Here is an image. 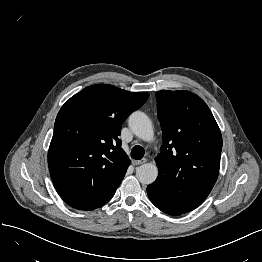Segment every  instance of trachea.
<instances>
[{
  "label": "trachea",
  "instance_id": "3493384b",
  "mask_svg": "<svg viewBox=\"0 0 262 262\" xmlns=\"http://www.w3.org/2000/svg\"><path fill=\"white\" fill-rule=\"evenodd\" d=\"M144 156V149L140 145H136L131 150V157L136 160L142 159Z\"/></svg>",
  "mask_w": 262,
  "mask_h": 262
}]
</instances>
